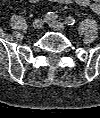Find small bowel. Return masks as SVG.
<instances>
[{
    "instance_id": "obj_1",
    "label": "small bowel",
    "mask_w": 100,
    "mask_h": 118,
    "mask_svg": "<svg viewBox=\"0 0 100 118\" xmlns=\"http://www.w3.org/2000/svg\"><path fill=\"white\" fill-rule=\"evenodd\" d=\"M29 1L35 3L39 0H29ZM50 1L63 4L74 3L75 5L80 7H88L97 14L100 13V0H50Z\"/></svg>"
}]
</instances>
